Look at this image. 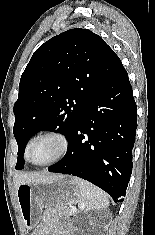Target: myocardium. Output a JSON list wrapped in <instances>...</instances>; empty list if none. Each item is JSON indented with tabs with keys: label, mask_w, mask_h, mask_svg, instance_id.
Wrapping results in <instances>:
<instances>
[{
	"label": "myocardium",
	"mask_w": 155,
	"mask_h": 235,
	"mask_svg": "<svg viewBox=\"0 0 155 235\" xmlns=\"http://www.w3.org/2000/svg\"><path fill=\"white\" fill-rule=\"evenodd\" d=\"M47 137H54V138L58 139L61 143V150L56 157H54L53 159H51L47 162L34 163L33 161H31V159L29 157L30 150H31L32 146L34 145V143H36L40 139L47 138ZM70 149H71V141L66 133L59 131V130H48V131H45V132L33 137L32 141L30 142V144L28 145V147L25 151V159L30 164L38 166V167L50 166V165H53V164H56V163L62 161L69 154Z\"/></svg>",
	"instance_id": "f54148a6"
}]
</instances>
